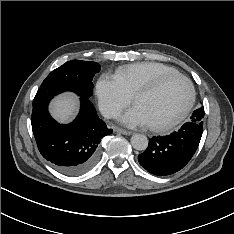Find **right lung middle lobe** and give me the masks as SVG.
<instances>
[{"label": "right lung middle lobe", "mask_w": 234, "mask_h": 234, "mask_svg": "<svg viewBox=\"0 0 234 234\" xmlns=\"http://www.w3.org/2000/svg\"><path fill=\"white\" fill-rule=\"evenodd\" d=\"M100 69L96 62L81 60L66 62L53 70L43 81L33 100V106L64 91H72L81 98L89 99L93 90L92 79Z\"/></svg>", "instance_id": "right-lung-middle-lobe-1"}]
</instances>
